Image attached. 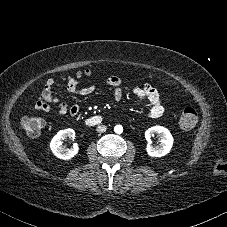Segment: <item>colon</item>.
Here are the masks:
<instances>
[{
	"label": "colon",
	"mask_w": 227,
	"mask_h": 227,
	"mask_svg": "<svg viewBox=\"0 0 227 227\" xmlns=\"http://www.w3.org/2000/svg\"><path fill=\"white\" fill-rule=\"evenodd\" d=\"M83 75H88V71H84L83 73H77L76 77H80ZM198 121V112L194 105L187 104L179 117V126L183 130H189L193 128ZM45 125V121L43 118L38 116H24L21 119V126L25 130V132L29 135H37L39 134Z\"/></svg>",
	"instance_id": "1"
}]
</instances>
